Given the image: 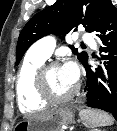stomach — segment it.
<instances>
[{"label": "stomach", "instance_id": "obj_1", "mask_svg": "<svg viewBox=\"0 0 117 131\" xmlns=\"http://www.w3.org/2000/svg\"><path fill=\"white\" fill-rule=\"evenodd\" d=\"M74 121L71 106H62L40 118L22 120L16 124V131H62V127Z\"/></svg>", "mask_w": 117, "mask_h": 131}]
</instances>
